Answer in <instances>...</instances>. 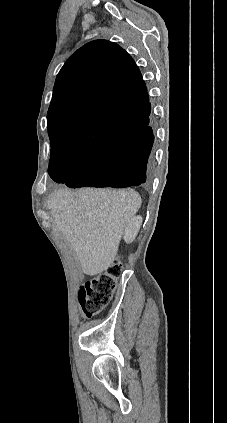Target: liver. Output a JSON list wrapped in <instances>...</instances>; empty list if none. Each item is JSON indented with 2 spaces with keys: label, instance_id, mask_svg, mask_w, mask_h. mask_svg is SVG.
Segmentation results:
<instances>
[{
  "label": "liver",
  "instance_id": "liver-1",
  "mask_svg": "<svg viewBox=\"0 0 227 423\" xmlns=\"http://www.w3.org/2000/svg\"><path fill=\"white\" fill-rule=\"evenodd\" d=\"M133 190H95L78 192L57 190L48 208L51 221L71 243L84 273L98 275L116 259L125 227L141 206Z\"/></svg>",
  "mask_w": 227,
  "mask_h": 423
}]
</instances>
